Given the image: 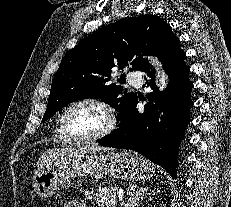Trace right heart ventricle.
Segmentation results:
<instances>
[{"instance_id":"1","label":"right heart ventricle","mask_w":231,"mask_h":207,"mask_svg":"<svg viewBox=\"0 0 231 207\" xmlns=\"http://www.w3.org/2000/svg\"><path fill=\"white\" fill-rule=\"evenodd\" d=\"M55 137L60 144H67L70 142V140H68L62 132L60 120H58L57 122V126L55 129Z\"/></svg>"}]
</instances>
